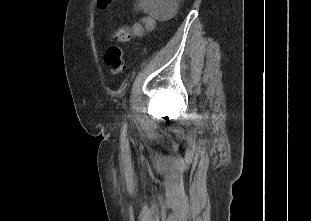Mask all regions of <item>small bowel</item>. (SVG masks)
<instances>
[{"label":"small bowel","mask_w":311,"mask_h":221,"mask_svg":"<svg viewBox=\"0 0 311 221\" xmlns=\"http://www.w3.org/2000/svg\"><path fill=\"white\" fill-rule=\"evenodd\" d=\"M155 26V19L145 15L136 17L133 20L131 31L135 36L142 35L145 31L152 30Z\"/></svg>","instance_id":"c3829d8e"}]
</instances>
